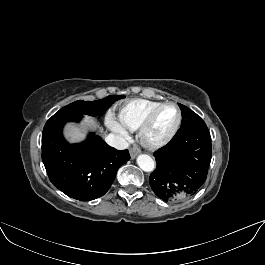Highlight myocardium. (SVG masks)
Returning <instances> with one entry per match:
<instances>
[{
    "label": "myocardium",
    "mask_w": 265,
    "mask_h": 265,
    "mask_svg": "<svg viewBox=\"0 0 265 265\" xmlns=\"http://www.w3.org/2000/svg\"><path fill=\"white\" fill-rule=\"evenodd\" d=\"M165 106H172L175 108V110L177 112V120H176L174 126L172 127V129L161 140L149 141L146 138V132H147L154 116L156 115V113L161 108H163ZM181 122H182V113H181V110L178 107V105L174 102H171V101L162 102V103L158 104L157 106H155L154 108H152L146 114V116L143 118L142 122L140 123V125L137 129L138 139H139L141 145L147 149H150V150L160 149V148L166 146L174 138V136L176 135V133L178 132V130L180 128Z\"/></svg>",
    "instance_id": "f54148a6"
}]
</instances>
